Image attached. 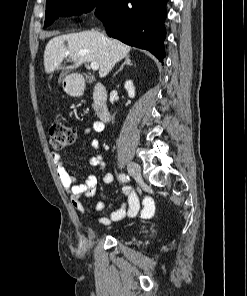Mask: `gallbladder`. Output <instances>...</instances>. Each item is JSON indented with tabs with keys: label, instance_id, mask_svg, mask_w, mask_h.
<instances>
[{
	"label": "gallbladder",
	"instance_id": "1",
	"mask_svg": "<svg viewBox=\"0 0 247 296\" xmlns=\"http://www.w3.org/2000/svg\"><path fill=\"white\" fill-rule=\"evenodd\" d=\"M62 80V77L60 78V81ZM86 81H88V82H92L93 81V79L91 78V77H86Z\"/></svg>",
	"mask_w": 247,
	"mask_h": 296
}]
</instances>
